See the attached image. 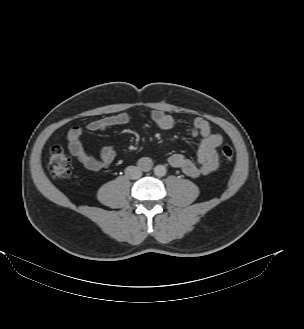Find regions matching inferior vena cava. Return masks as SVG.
Instances as JSON below:
<instances>
[{"label": "inferior vena cava", "mask_w": 304, "mask_h": 329, "mask_svg": "<svg viewBox=\"0 0 304 329\" xmlns=\"http://www.w3.org/2000/svg\"><path fill=\"white\" fill-rule=\"evenodd\" d=\"M125 174L129 179L135 180L142 176V171L135 166H129L125 170Z\"/></svg>", "instance_id": "obj_1"}]
</instances>
